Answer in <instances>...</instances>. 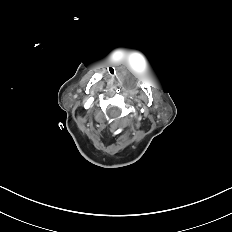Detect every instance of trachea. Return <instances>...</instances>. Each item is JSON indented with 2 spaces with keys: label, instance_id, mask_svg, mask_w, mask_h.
Returning <instances> with one entry per match:
<instances>
[{
  "label": "trachea",
  "instance_id": "1",
  "mask_svg": "<svg viewBox=\"0 0 232 232\" xmlns=\"http://www.w3.org/2000/svg\"><path fill=\"white\" fill-rule=\"evenodd\" d=\"M108 72H109V75H110L111 77H114V76H115V71H114L113 68H110Z\"/></svg>",
  "mask_w": 232,
  "mask_h": 232
}]
</instances>
